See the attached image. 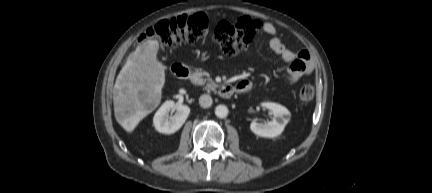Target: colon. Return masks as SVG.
<instances>
[{
	"instance_id": "obj_1",
	"label": "colon",
	"mask_w": 432,
	"mask_h": 193,
	"mask_svg": "<svg viewBox=\"0 0 432 193\" xmlns=\"http://www.w3.org/2000/svg\"><path fill=\"white\" fill-rule=\"evenodd\" d=\"M208 19L205 14L181 15L162 20L149 27L141 39L154 38L166 48H176L181 44H195L206 33ZM253 30L245 22H219L214 30V40L227 56L242 52L251 39ZM315 89L311 84L300 88L299 97L303 102L314 98Z\"/></svg>"
}]
</instances>
